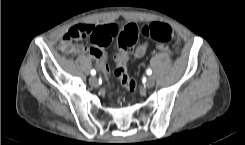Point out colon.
<instances>
[{"label":"colon","instance_id":"1","mask_svg":"<svg viewBox=\"0 0 245 145\" xmlns=\"http://www.w3.org/2000/svg\"><path fill=\"white\" fill-rule=\"evenodd\" d=\"M108 32L111 38H117L119 50L116 55V69L115 75L119 78L122 85L131 93L136 90V82L132 79L127 72V63L129 60L130 50L141 35L144 38L152 39L162 44H170L175 40V33L173 29L160 22H151L138 27L134 23H126L119 26H110ZM96 37V31L89 26L78 24L72 26L64 37V41L70 42L76 39H89L93 40ZM100 69L107 73L106 65H100Z\"/></svg>","mask_w":245,"mask_h":145}]
</instances>
